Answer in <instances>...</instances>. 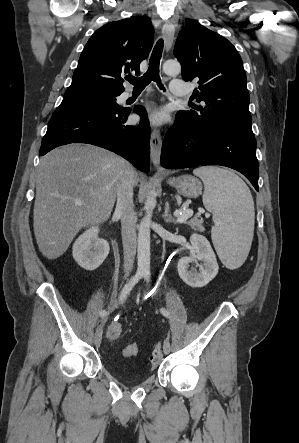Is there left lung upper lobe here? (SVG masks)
Segmentation results:
<instances>
[{
  "mask_svg": "<svg viewBox=\"0 0 299 443\" xmlns=\"http://www.w3.org/2000/svg\"><path fill=\"white\" fill-rule=\"evenodd\" d=\"M174 56L185 81L198 79L199 112L179 111L190 123L203 128L240 126L251 128L250 97L243 62L230 41L200 24H188L180 32Z\"/></svg>",
  "mask_w": 299,
  "mask_h": 443,
  "instance_id": "5c2ea615",
  "label": "left lung upper lobe"
}]
</instances>
